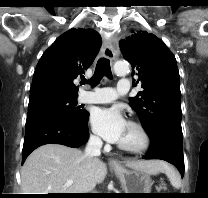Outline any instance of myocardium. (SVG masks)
Wrapping results in <instances>:
<instances>
[{
  "mask_svg": "<svg viewBox=\"0 0 208 198\" xmlns=\"http://www.w3.org/2000/svg\"><path fill=\"white\" fill-rule=\"evenodd\" d=\"M129 125L137 129L140 134L141 142L136 146H129L118 143V148L132 154H141L147 151L151 145V136L146 127L138 121L131 120Z\"/></svg>",
  "mask_w": 208,
  "mask_h": 198,
  "instance_id": "f54148a6",
  "label": "myocardium"
}]
</instances>
